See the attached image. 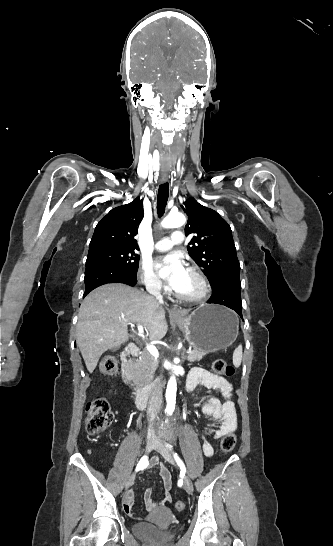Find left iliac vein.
<instances>
[{
  "mask_svg": "<svg viewBox=\"0 0 333 546\" xmlns=\"http://www.w3.org/2000/svg\"><path fill=\"white\" fill-rule=\"evenodd\" d=\"M154 449L158 451L169 463L175 465V460L169 444L160 439H156ZM184 489L189 494H192L193 492V484L187 477L184 478Z\"/></svg>",
  "mask_w": 333,
  "mask_h": 546,
  "instance_id": "1",
  "label": "left iliac vein"
}]
</instances>
